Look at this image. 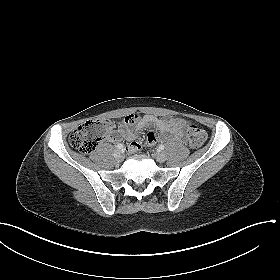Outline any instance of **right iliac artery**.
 <instances>
[{"instance_id":"82829eb1","label":"right iliac artery","mask_w":280,"mask_h":280,"mask_svg":"<svg viewBox=\"0 0 280 280\" xmlns=\"http://www.w3.org/2000/svg\"><path fill=\"white\" fill-rule=\"evenodd\" d=\"M116 147H117L118 149H122V148L124 147V145H123V144H118Z\"/></svg>"}]
</instances>
